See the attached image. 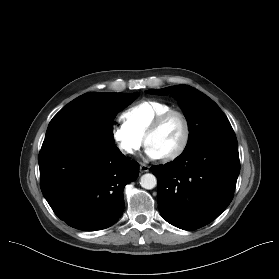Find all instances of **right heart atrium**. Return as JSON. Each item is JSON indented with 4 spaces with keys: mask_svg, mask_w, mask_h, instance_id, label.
I'll return each instance as SVG.
<instances>
[{
    "mask_svg": "<svg viewBox=\"0 0 279 279\" xmlns=\"http://www.w3.org/2000/svg\"><path fill=\"white\" fill-rule=\"evenodd\" d=\"M111 135L118 150L126 156L135 155L143 146V137L134 132L125 122L112 126Z\"/></svg>",
    "mask_w": 279,
    "mask_h": 279,
    "instance_id": "1",
    "label": "right heart atrium"
}]
</instances>
